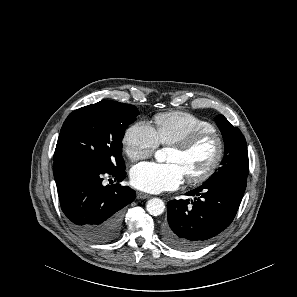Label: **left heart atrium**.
Segmentation results:
<instances>
[{"instance_id":"39dd6f15","label":"left heart atrium","mask_w":297,"mask_h":297,"mask_svg":"<svg viewBox=\"0 0 297 297\" xmlns=\"http://www.w3.org/2000/svg\"><path fill=\"white\" fill-rule=\"evenodd\" d=\"M185 179L183 168L176 162H141L130 172L131 184L145 192L158 193L177 188Z\"/></svg>"}]
</instances>
